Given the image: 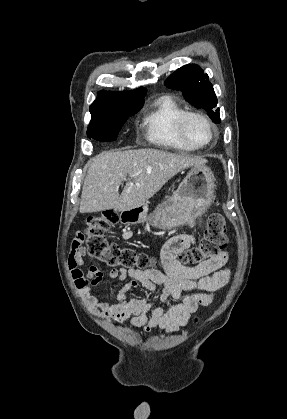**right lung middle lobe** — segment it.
<instances>
[{
    "mask_svg": "<svg viewBox=\"0 0 287 419\" xmlns=\"http://www.w3.org/2000/svg\"><path fill=\"white\" fill-rule=\"evenodd\" d=\"M142 106L120 108L91 114L87 136L97 141H114L128 117L136 114Z\"/></svg>",
    "mask_w": 287,
    "mask_h": 419,
    "instance_id": "obj_1",
    "label": "right lung middle lobe"
}]
</instances>
